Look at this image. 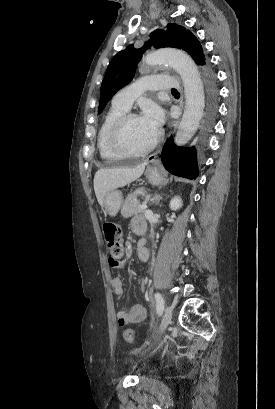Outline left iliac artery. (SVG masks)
Wrapping results in <instances>:
<instances>
[{
  "mask_svg": "<svg viewBox=\"0 0 275 409\" xmlns=\"http://www.w3.org/2000/svg\"><path fill=\"white\" fill-rule=\"evenodd\" d=\"M154 297H155V301H156V311H157L158 315L161 316L163 311H164V299H163L162 295L160 293H158V292H156L154 294Z\"/></svg>",
  "mask_w": 275,
  "mask_h": 409,
  "instance_id": "1",
  "label": "left iliac artery"
}]
</instances>
